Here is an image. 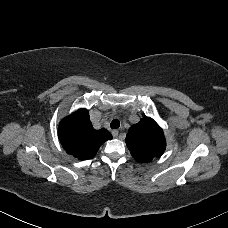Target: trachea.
Segmentation results:
<instances>
[{"mask_svg": "<svg viewBox=\"0 0 228 228\" xmlns=\"http://www.w3.org/2000/svg\"><path fill=\"white\" fill-rule=\"evenodd\" d=\"M110 127H111L112 129H117V128H119V127H120V121L117 120V119H114V120L111 122Z\"/></svg>", "mask_w": 228, "mask_h": 228, "instance_id": "trachea-1", "label": "trachea"}]
</instances>
